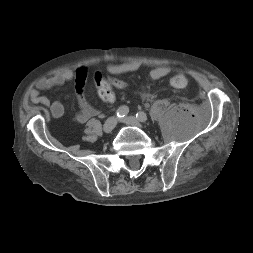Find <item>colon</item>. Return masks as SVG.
<instances>
[{"label": "colon", "mask_w": 253, "mask_h": 253, "mask_svg": "<svg viewBox=\"0 0 253 253\" xmlns=\"http://www.w3.org/2000/svg\"><path fill=\"white\" fill-rule=\"evenodd\" d=\"M93 78L99 97L108 103H113L116 100L114 88L123 90L130 87V84L126 81L110 73L106 74L101 70L95 71ZM187 83V78L183 74H177L170 79L171 86L177 89L185 88Z\"/></svg>", "instance_id": "obj_1"}]
</instances>
